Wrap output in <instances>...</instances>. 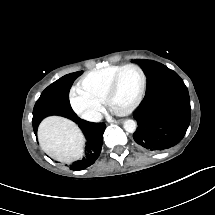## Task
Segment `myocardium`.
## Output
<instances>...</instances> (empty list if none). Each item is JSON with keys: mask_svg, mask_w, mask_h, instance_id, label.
<instances>
[{"mask_svg": "<svg viewBox=\"0 0 215 215\" xmlns=\"http://www.w3.org/2000/svg\"><path fill=\"white\" fill-rule=\"evenodd\" d=\"M126 69L134 70L138 76V83H137V86L135 89L134 96H133L132 100L128 101L125 104L112 105L111 101L114 97V94L117 91L121 78L124 75L123 70H126ZM113 75H114V78H113L112 86L110 89H108L107 95L101 106L105 110L110 109L111 113L114 115L123 116V115L129 114L132 111H134L137 107V104L140 102L142 95H143L144 87H145V75H144L142 69L138 65L133 64V63H126V64H122V65L118 66Z\"/></svg>", "mask_w": 215, "mask_h": 215, "instance_id": "obj_1", "label": "myocardium"}]
</instances>
